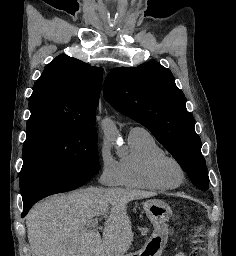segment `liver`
Returning <instances> with one entry per match:
<instances>
[{
    "mask_svg": "<svg viewBox=\"0 0 236 256\" xmlns=\"http://www.w3.org/2000/svg\"><path fill=\"white\" fill-rule=\"evenodd\" d=\"M154 192L123 188H85L59 194L35 204L26 216L32 256H124L133 242L126 206L131 200L151 198ZM105 216L101 238L85 226Z\"/></svg>",
    "mask_w": 236,
    "mask_h": 256,
    "instance_id": "1",
    "label": "liver"
}]
</instances>
